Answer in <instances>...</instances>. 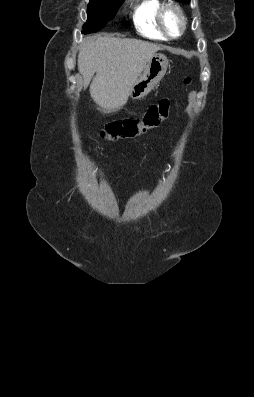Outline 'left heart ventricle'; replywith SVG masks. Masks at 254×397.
Returning <instances> with one entry per match:
<instances>
[{
	"label": "left heart ventricle",
	"mask_w": 254,
	"mask_h": 397,
	"mask_svg": "<svg viewBox=\"0 0 254 397\" xmlns=\"http://www.w3.org/2000/svg\"><path fill=\"white\" fill-rule=\"evenodd\" d=\"M164 23L167 28V30L172 34V35H178L181 29V21L178 17V15L172 11L169 10L166 12L165 17H164Z\"/></svg>",
	"instance_id": "obj_1"
}]
</instances>
